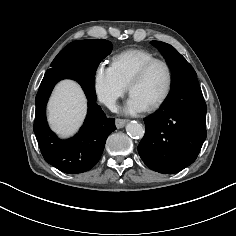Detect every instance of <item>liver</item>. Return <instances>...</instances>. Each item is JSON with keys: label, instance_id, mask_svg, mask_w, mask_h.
Masks as SVG:
<instances>
[{"label": "liver", "instance_id": "obj_1", "mask_svg": "<svg viewBox=\"0 0 236 236\" xmlns=\"http://www.w3.org/2000/svg\"><path fill=\"white\" fill-rule=\"evenodd\" d=\"M87 101L80 86L70 80L60 82L48 103V121L62 136L73 134L82 124Z\"/></svg>", "mask_w": 236, "mask_h": 236}]
</instances>
